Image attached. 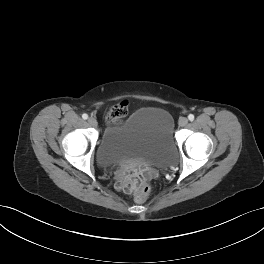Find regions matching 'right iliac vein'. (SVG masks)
Wrapping results in <instances>:
<instances>
[{"label": "right iliac vein", "instance_id": "63e3f726", "mask_svg": "<svg viewBox=\"0 0 264 264\" xmlns=\"http://www.w3.org/2000/svg\"><path fill=\"white\" fill-rule=\"evenodd\" d=\"M88 123L93 126V127H97V120L94 117H89L88 118Z\"/></svg>", "mask_w": 264, "mask_h": 264}]
</instances>
